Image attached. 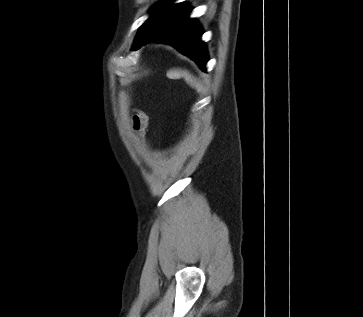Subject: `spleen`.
Wrapping results in <instances>:
<instances>
[{"instance_id":"3e777b00","label":"spleen","mask_w":363,"mask_h":317,"mask_svg":"<svg viewBox=\"0 0 363 317\" xmlns=\"http://www.w3.org/2000/svg\"><path fill=\"white\" fill-rule=\"evenodd\" d=\"M169 77H171L173 79L184 78L185 81L192 87H196V88L198 87L196 80L187 71H181V70L180 71H170Z\"/></svg>"}]
</instances>
